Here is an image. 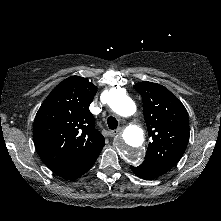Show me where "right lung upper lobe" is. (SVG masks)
<instances>
[{"label": "right lung upper lobe", "instance_id": "obj_1", "mask_svg": "<svg viewBox=\"0 0 221 221\" xmlns=\"http://www.w3.org/2000/svg\"><path fill=\"white\" fill-rule=\"evenodd\" d=\"M96 92L87 79L72 76L56 86L38 110L34 144L53 172L79 164L105 145L89 111Z\"/></svg>", "mask_w": 221, "mask_h": 221}]
</instances>
